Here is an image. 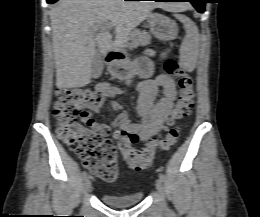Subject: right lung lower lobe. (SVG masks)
Listing matches in <instances>:
<instances>
[{"instance_id": "obj_1", "label": "right lung lower lobe", "mask_w": 260, "mask_h": 217, "mask_svg": "<svg viewBox=\"0 0 260 217\" xmlns=\"http://www.w3.org/2000/svg\"><path fill=\"white\" fill-rule=\"evenodd\" d=\"M46 1H47V3L52 4V3H55L58 0H46ZM125 1H130V0H125Z\"/></svg>"}]
</instances>
